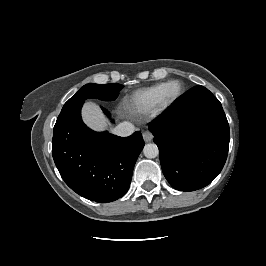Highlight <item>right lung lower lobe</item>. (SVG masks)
Listing matches in <instances>:
<instances>
[{
  "instance_id": "1",
  "label": "right lung lower lobe",
  "mask_w": 266,
  "mask_h": 266,
  "mask_svg": "<svg viewBox=\"0 0 266 266\" xmlns=\"http://www.w3.org/2000/svg\"><path fill=\"white\" fill-rule=\"evenodd\" d=\"M83 103L58 116L53 159L62 179L77 194L95 202H112L128 191L144 141L140 132L124 138L92 131L81 118Z\"/></svg>"
}]
</instances>
